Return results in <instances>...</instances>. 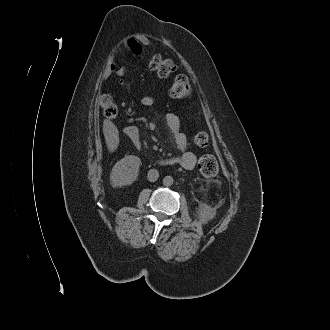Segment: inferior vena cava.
<instances>
[{"instance_id":"1","label":"inferior vena cava","mask_w":330,"mask_h":330,"mask_svg":"<svg viewBox=\"0 0 330 330\" xmlns=\"http://www.w3.org/2000/svg\"><path fill=\"white\" fill-rule=\"evenodd\" d=\"M147 178L150 182H155L159 178V172L156 169H150Z\"/></svg>"}]
</instances>
